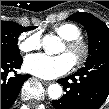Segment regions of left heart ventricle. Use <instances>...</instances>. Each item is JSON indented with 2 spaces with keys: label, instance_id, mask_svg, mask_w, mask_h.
<instances>
[{
  "label": "left heart ventricle",
  "instance_id": "left-heart-ventricle-1",
  "mask_svg": "<svg viewBox=\"0 0 109 109\" xmlns=\"http://www.w3.org/2000/svg\"><path fill=\"white\" fill-rule=\"evenodd\" d=\"M63 54H67L70 59L75 62V60L79 57L80 55V51L79 50H75V51H70L66 48L65 45H63L62 50L60 51Z\"/></svg>",
  "mask_w": 109,
  "mask_h": 109
}]
</instances>
